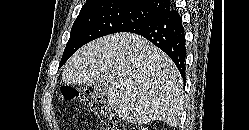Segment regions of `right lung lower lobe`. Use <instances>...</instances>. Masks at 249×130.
Wrapping results in <instances>:
<instances>
[{
    "label": "right lung lower lobe",
    "mask_w": 249,
    "mask_h": 130,
    "mask_svg": "<svg viewBox=\"0 0 249 130\" xmlns=\"http://www.w3.org/2000/svg\"><path fill=\"white\" fill-rule=\"evenodd\" d=\"M125 32L145 37L163 50L175 63L185 79V35L179 13L175 9L128 29Z\"/></svg>",
    "instance_id": "98d812e1"
}]
</instances>
